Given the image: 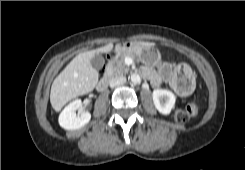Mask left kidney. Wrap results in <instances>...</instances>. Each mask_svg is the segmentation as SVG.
I'll return each mask as SVG.
<instances>
[{"label": "left kidney", "mask_w": 245, "mask_h": 170, "mask_svg": "<svg viewBox=\"0 0 245 170\" xmlns=\"http://www.w3.org/2000/svg\"><path fill=\"white\" fill-rule=\"evenodd\" d=\"M152 98L156 109L164 115L170 114L176 101L175 95L165 89H155Z\"/></svg>", "instance_id": "1"}]
</instances>
